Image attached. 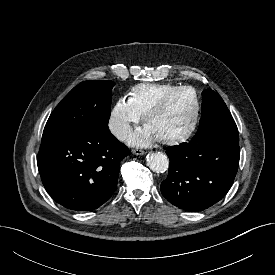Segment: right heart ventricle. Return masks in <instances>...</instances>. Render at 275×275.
Returning <instances> with one entry per match:
<instances>
[{
  "label": "right heart ventricle",
  "instance_id": "e07e8e85",
  "mask_svg": "<svg viewBox=\"0 0 275 275\" xmlns=\"http://www.w3.org/2000/svg\"><path fill=\"white\" fill-rule=\"evenodd\" d=\"M176 87L170 83H142L131 89L128 99L135 110L145 116L164 94Z\"/></svg>",
  "mask_w": 275,
  "mask_h": 275
}]
</instances>
